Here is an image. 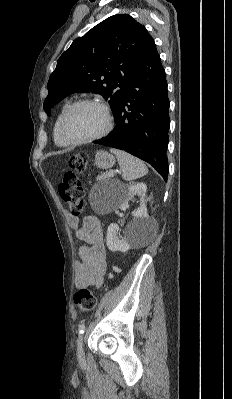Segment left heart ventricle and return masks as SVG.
Instances as JSON below:
<instances>
[{
    "label": "left heart ventricle",
    "mask_w": 232,
    "mask_h": 399,
    "mask_svg": "<svg viewBox=\"0 0 232 399\" xmlns=\"http://www.w3.org/2000/svg\"><path fill=\"white\" fill-rule=\"evenodd\" d=\"M105 111L97 105H80L67 118V130L76 139H84L100 133L106 126Z\"/></svg>",
    "instance_id": "b2bd125f"
}]
</instances>
